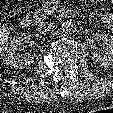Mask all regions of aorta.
<instances>
[{
	"mask_svg": "<svg viewBox=\"0 0 113 113\" xmlns=\"http://www.w3.org/2000/svg\"><path fill=\"white\" fill-rule=\"evenodd\" d=\"M77 30V25L73 20H66L62 23L61 25V32L64 35H72L76 32Z\"/></svg>",
	"mask_w": 113,
	"mask_h": 113,
	"instance_id": "762f6f07",
	"label": "aorta"
}]
</instances>
